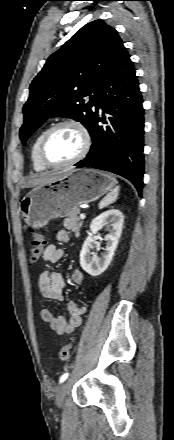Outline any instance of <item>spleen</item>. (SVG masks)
Wrapping results in <instances>:
<instances>
[{
  "label": "spleen",
  "mask_w": 174,
  "mask_h": 440,
  "mask_svg": "<svg viewBox=\"0 0 174 440\" xmlns=\"http://www.w3.org/2000/svg\"><path fill=\"white\" fill-rule=\"evenodd\" d=\"M119 190H120V187L117 186L110 193H108L102 199V201L99 203V208L102 209V208L108 206L109 204L114 203L117 200V198H118Z\"/></svg>",
  "instance_id": "obj_1"
}]
</instances>
